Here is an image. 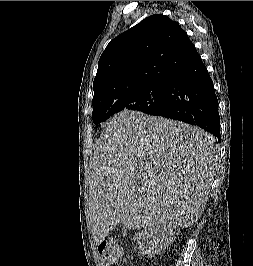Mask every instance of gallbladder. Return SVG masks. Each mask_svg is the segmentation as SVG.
<instances>
[{"label": "gallbladder", "mask_w": 253, "mask_h": 266, "mask_svg": "<svg viewBox=\"0 0 253 266\" xmlns=\"http://www.w3.org/2000/svg\"><path fill=\"white\" fill-rule=\"evenodd\" d=\"M122 234H123V235L126 234V229H122Z\"/></svg>", "instance_id": "gallbladder-1"}]
</instances>
